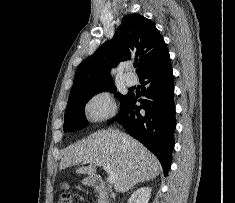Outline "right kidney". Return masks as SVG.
Returning a JSON list of instances; mask_svg holds the SVG:
<instances>
[{"instance_id":"ca27d5eb","label":"right kidney","mask_w":235,"mask_h":203,"mask_svg":"<svg viewBox=\"0 0 235 203\" xmlns=\"http://www.w3.org/2000/svg\"><path fill=\"white\" fill-rule=\"evenodd\" d=\"M150 195L151 188L141 187L130 196L128 203H148Z\"/></svg>"}]
</instances>
